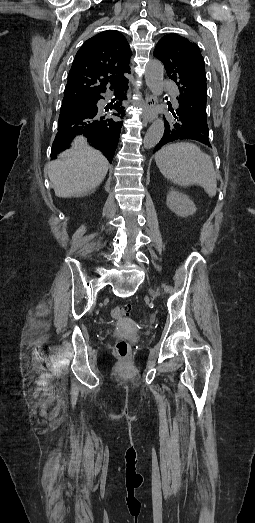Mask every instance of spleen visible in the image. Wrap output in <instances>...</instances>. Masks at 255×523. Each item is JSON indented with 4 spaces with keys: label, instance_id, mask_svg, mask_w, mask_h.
Listing matches in <instances>:
<instances>
[{
    "label": "spleen",
    "instance_id": "obj_1",
    "mask_svg": "<svg viewBox=\"0 0 255 523\" xmlns=\"http://www.w3.org/2000/svg\"><path fill=\"white\" fill-rule=\"evenodd\" d=\"M155 162L164 178L173 184H199L210 198L216 196L217 182L213 162L195 144L180 142L164 146L156 152Z\"/></svg>",
    "mask_w": 255,
    "mask_h": 523
}]
</instances>
